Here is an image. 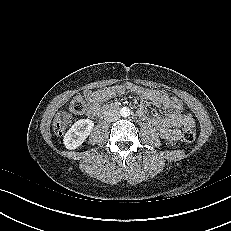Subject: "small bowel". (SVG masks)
Returning a JSON list of instances; mask_svg holds the SVG:
<instances>
[{
	"instance_id": "small-bowel-1",
	"label": "small bowel",
	"mask_w": 231,
	"mask_h": 231,
	"mask_svg": "<svg viewBox=\"0 0 231 231\" xmlns=\"http://www.w3.org/2000/svg\"><path fill=\"white\" fill-rule=\"evenodd\" d=\"M126 91H132L141 96V104L137 110V115L142 120L153 124L164 139L178 140L181 136L182 127L194 126L195 124L192 114L182 113L180 110H176L171 106L170 98L166 93L130 83L116 85L98 91H87L85 95L88 101V115L91 117L98 115L106 107L105 101L122 95ZM149 105L169 110V113L165 116L158 114L150 116L147 112Z\"/></svg>"
}]
</instances>
